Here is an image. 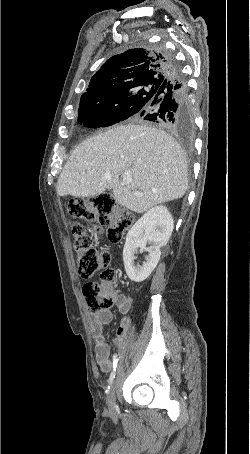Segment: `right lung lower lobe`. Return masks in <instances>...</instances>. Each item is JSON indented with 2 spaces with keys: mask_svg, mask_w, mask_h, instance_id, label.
<instances>
[{
  "mask_svg": "<svg viewBox=\"0 0 250 454\" xmlns=\"http://www.w3.org/2000/svg\"><path fill=\"white\" fill-rule=\"evenodd\" d=\"M163 54L169 61L171 72L150 105L137 117L158 123L173 132L187 134L192 131L194 122L185 78L175 59L166 51Z\"/></svg>",
  "mask_w": 250,
  "mask_h": 454,
  "instance_id": "1",
  "label": "right lung lower lobe"
}]
</instances>
